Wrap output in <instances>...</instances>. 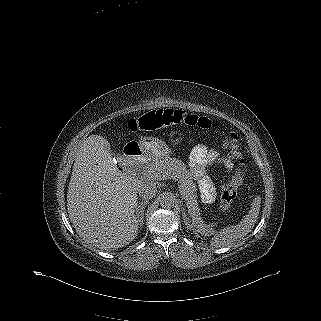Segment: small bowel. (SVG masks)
I'll return each instance as SVG.
<instances>
[{"label": "small bowel", "instance_id": "obj_1", "mask_svg": "<svg viewBox=\"0 0 321 321\" xmlns=\"http://www.w3.org/2000/svg\"><path fill=\"white\" fill-rule=\"evenodd\" d=\"M195 153L196 154H202L203 157L205 158V160L208 163H224V165L226 166V168L230 169L231 168V164L222 159L219 154L213 150H205L203 147H197L195 149ZM207 200V199H206Z\"/></svg>", "mask_w": 321, "mask_h": 321}]
</instances>
